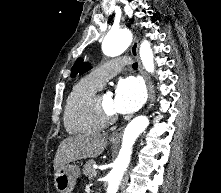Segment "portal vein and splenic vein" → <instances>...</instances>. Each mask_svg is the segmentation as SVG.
<instances>
[{
    "mask_svg": "<svg viewBox=\"0 0 221 193\" xmlns=\"http://www.w3.org/2000/svg\"><path fill=\"white\" fill-rule=\"evenodd\" d=\"M96 175H97V171L93 170V176H96Z\"/></svg>",
    "mask_w": 221,
    "mask_h": 193,
    "instance_id": "18ae733b",
    "label": "portal vein and splenic vein"
}]
</instances>
